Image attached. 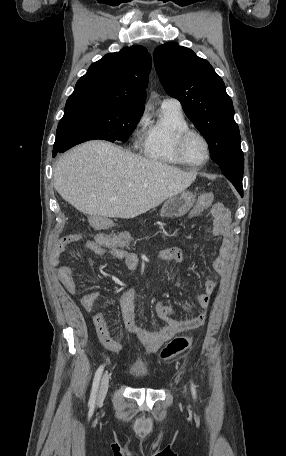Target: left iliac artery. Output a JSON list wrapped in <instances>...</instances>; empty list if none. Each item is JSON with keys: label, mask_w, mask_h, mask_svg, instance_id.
<instances>
[{"label": "left iliac artery", "mask_w": 286, "mask_h": 456, "mask_svg": "<svg viewBox=\"0 0 286 456\" xmlns=\"http://www.w3.org/2000/svg\"><path fill=\"white\" fill-rule=\"evenodd\" d=\"M191 391H192L193 398L195 399L196 398V387L193 384V382L191 383Z\"/></svg>", "instance_id": "obj_1"}]
</instances>
